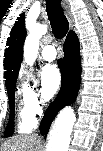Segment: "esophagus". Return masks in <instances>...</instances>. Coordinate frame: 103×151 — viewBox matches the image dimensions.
Instances as JSON below:
<instances>
[{
  "label": "esophagus",
  "mask_w": 103,
  "mask_h": 151,
  "mask_svg": "<svg viewBox=\"0 0 103 151\" xmlns=\"http://www.w3.org/2000/svg\"><path fill=\"white\" fill-rule=\"evenodd\" d=\"M62 5H63L64 10H65V15H66V17H67L70 25L72 26V24H73V17H72V15L70 13V9H69L67 0H62Z\"/></svg>",
  "instance_id": "esophagus-1"
}]
</instances>
